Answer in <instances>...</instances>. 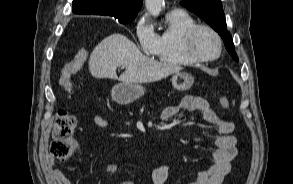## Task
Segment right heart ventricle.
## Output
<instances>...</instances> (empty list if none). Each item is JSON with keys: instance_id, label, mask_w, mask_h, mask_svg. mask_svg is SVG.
Wrapping results in <instances>:
<instances>
[{"instance_id": "obj_1", "label": "right heart ventricle", "mask_w": 293, "mask_h": 184, "mask_svg": "<svg viewBox=\"0 0 293 184\" xmlns=\"http://www.w3.org/2000/svg\"><path fill=\"white\" fill-rule=\"evenodd\" d=\"M196 24V21L186 12L168 13L164 30L157 34L156 47L152 55L157 60L168 64H194L195 62L184 54L182 41L185 33Z\"/></svg>"}]
</instances>
